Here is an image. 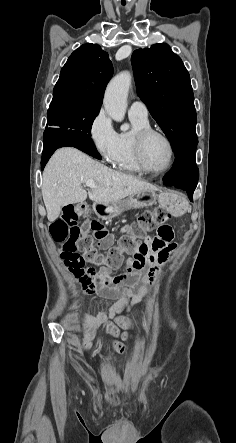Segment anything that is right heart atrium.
I'll return each mask as SVG.
<instances>
[{"label":"right heart atrium","instance_id":"d8ad5b80","mask_svg":"<svg viewBox=\"0 0 236 443\" xmlns=\"http://www.w3.org/2000/svg\"><path fill=\"white\" fill-rule=\"evenodd\" d=\"M88 137L101 158L114 164L119 155V134L104 109H100L90 121Z\"/></svg>","mask_w":236,"mask_h":443}]
</instances>
